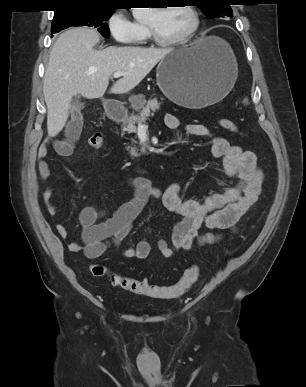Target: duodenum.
Wrapping results in <instances>:
<instances>
[{
  "instance_id": "obj_1",
  "label": "duodenum",
  "mask_w": 306,
  "mask_h": 387,
  "mask_svg": "<svg viewBox=\"0 0 306 387\" xmlns=\"http://www.w3.org/2000/svg\"><path fill=\"white\" fill-rule=\"evenodd\" d=\"M106 112L108 117L116 122L121 121L125 116V110L114 103L107 105Z\"/></svg>"
}]
</instances>
